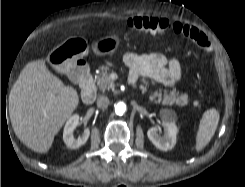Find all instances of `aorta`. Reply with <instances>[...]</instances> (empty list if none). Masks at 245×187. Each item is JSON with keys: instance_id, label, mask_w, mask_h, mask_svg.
<instances>
[{"instance_id": "aorta-1", "label": "aorta", "mask_w": 245, "mask_h": 187, "mask_svg": "<svg viewBox=\"0 0 245 187\" xmlns=\"http://www.w3.org/2000/svg\"><path fill=\"white\" fill-rule=\"evenodd\" d=\"M115 112L117 115L122 116L126 112V104L124 102H118L115 105Z\"/></svg>"}]
</instances>
